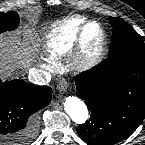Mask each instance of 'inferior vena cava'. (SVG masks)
I'll use <instances>...</instances> for the list:
<instances>
[{
    "label": "inferior vena cava",
    "instance_id": "obj_1",
    "mask_svg": "<svg viewBox=\"0 0 145 145\" xmlns=\"http://www.w3.org/2000/svg\"><path fill=\"white\" fill-rule=\"evenodd\" d=\"M47 76L42 73V72H33L30 76H29V80L31 82H33L34 84H38V85H44L47 83Z\"/></svg>",
    "mask_w": 145,
    "mask_h": 145
}]
</instances>
